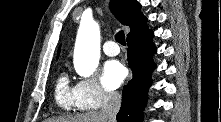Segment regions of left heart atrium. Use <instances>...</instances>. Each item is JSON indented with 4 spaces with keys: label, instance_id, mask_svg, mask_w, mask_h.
I'll return each mask as SVG.
<instances>
[{
    "label": "left heart atrium",
    "instance_id": "39dd6f15",
    "mask_svg": "<svg viewBox=\"0 0 221 122\" xmlns=\"http://www.w3.org/2000/svg\"><path fill=\"white\" fill-rule=\"evenodd\" d=\"M126 68L116 60L105 63L102 75L103 85L108 89H116L126 77Z\"/></svg>",
    "mask_w": 221,
    "mask_h": 122
}]
</instances>
